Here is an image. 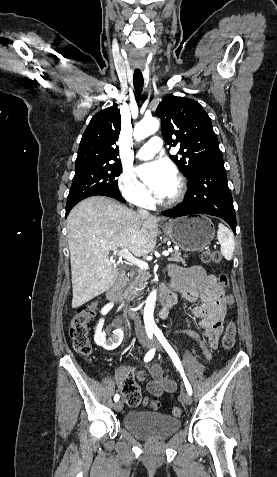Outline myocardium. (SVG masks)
Returning a JSON list of instances; mask_svg holds the SVG:
<instances>
[{
    "label": "myocardium",
    "mask_w": 277,
    "mask_h": 477,
    "mask_svg": "<svg viewBox=\"0 0 277 477\" xmlns=\"http://www.w3.org/2000/svg\"><path fill=\"white\" fill-rule=\"evenodd\" d=\"M176 181H177V186H178L176 194L169 199H165V200L161 201V204L165 207H172V206L178 205L180 202L183 201V199L186 195L187 186H186V182L183 179V177L178 176L176 178Z\"/></svg>",
    "instance_id": "obj_1"
}]
</instances>
